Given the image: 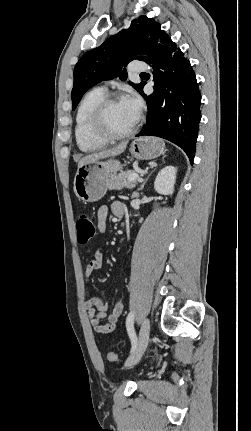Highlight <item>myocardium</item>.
Returning a JSON list of instances; mask_svg holds the SVG:
<instances>
[{
  "label": "myocardium",
  "mask_w": 251,
  "mask_h": 431,
  "mask_svg": "<svg viewBox=\"0 0 251 431\" xmlns=\"http://www.w3.org/2000/svg\"><path fill=\"white\" fill-rule=\"evenodd\" d=\"M119 101V97L116 95H107L105 96L94 108L91 120H90V128L91 132L94 136L105 140V141H115L120 139H125L133 135L139 125L140 115L137 117L134 125L127 131L121 133L112 132L106 124V111L108 107Z\"/></svg>",
  "instance_id": "myocardium-1"
}]
</instances>
